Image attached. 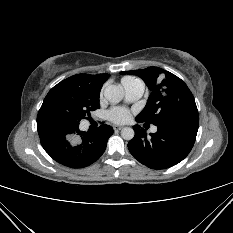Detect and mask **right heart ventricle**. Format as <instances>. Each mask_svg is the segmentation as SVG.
I'll return each mask as SVG.
<instances>
[{"mask_svg": "<svg viewBox=\"0 0 233 233\" xmlns=\"http://www.w3.org/2000/svg\"><path fill=\"white\" fill-rule=\"evenodd\" d=\"M135 82H140V80L137 79V78L131 77V76L124 77L121 80V83H122L123 86L129 85V84H132V83H135Z\"/></svg>", "mask_w": 233, "mask_h": 233, "instance_id": "right-heart-ventricle-1", "label": "right heart ventricle"}]
</instances>
